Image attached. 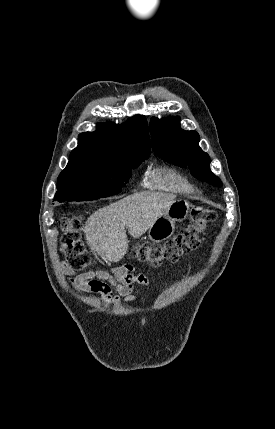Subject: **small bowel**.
Instances as JSON below:
<instances>
[{
	"label": "small bowel",
	"mask_w": 275,
	"mask_h": 429,
	"mask_svg": "<svg viewBox=\"0 0 275 429\" xmlns=\"http://www.w3.org/2000/svg\"><path fill=\"white\" fill-rule=\"evenodd\" d=\"M67 273L70 272L65 267ZM133 265H124L113 273L104 271H89L70 277V281L78 291H90L101 294L107 301L119 304L121 301L131 303L136 301L139 290L135 283L148 286L149 278L144 274H135ZM114 286L117 294L112 292Z\"/></svg>",
	"instance_id": "small-bowel-1"
}]
</instances>
